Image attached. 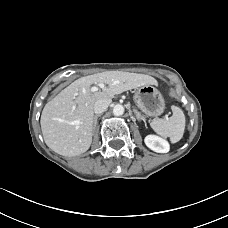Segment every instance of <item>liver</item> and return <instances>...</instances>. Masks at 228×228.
<instances>
[{"mask_svg": "<svg viewBox=\"0 0 228 228\" xmlns=\"http://www.w3.org/2000/svg\"><path fill=\"white\" fill-rule=\"evenodd\" d=\"M99 83L107 86L91 92V86ZM148 84L158 82L149 75L123 71H106L77 79L43 108L40 124L45 143L63 156L86 152L92 143L95 103Z\"/></svg>", "mask_w": 228, "mask_h": 228, "instance_id": "1", "label": "liver"}]
</instances>
